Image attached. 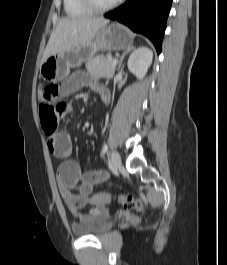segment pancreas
I'll list each match as a JSON object with an SVG mask.
<instances>
[{
  "label": "pancreas",
  "instance_id": "pancreas-1",
  "mask_svg": "<svg viewBox=\"0 0 227 265\" xmlns=\"http://www.w3.org/2000/svg\"><path fill=\"white\" fill-rule=\"evenodd\" d=\"M110 57L96 56L86 63V70L91 76L111 79L115 72V65Z\"/></svg>",
  "mask_w": 227,
  "mask_h": 265
}]
</instances>
